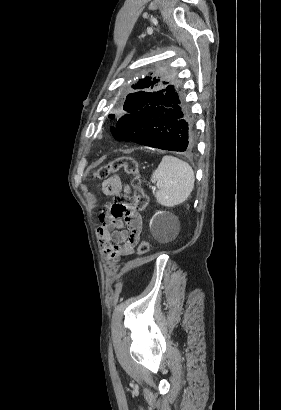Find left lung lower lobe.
I'll list each match as a JSON object with an SVG mask.
<instances>
[{"instance_id":"0a47b994","label":"left lung lower lobe","mask_w":281,"mask_h":410,"mask_svg":"<svg viewBox=\"0 0 281 410\" xmlns=\"http://www.w3.org/2000/svg\"><path fill=\"white\" fill-rule=\"evenodd\" d=\"M111 131L118 141L163 150L191 152L196 146L194 123L176 85L156 92L141 110L122 116Z\"/></svg>"}]
</instances>
